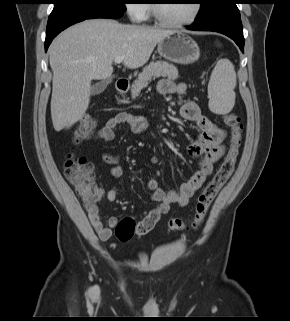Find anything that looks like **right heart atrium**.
<instances>
[{
  "label": "right heart atrium",
  "mask_w": 290,
  "mask_h": 321,
  "mask_svg": "<svg viewBox=\"0 0 290 321\" xmlns=\"http://www.w3.org/2000/svg\"><path fill=\"white\" fill-rule=\"evenodd\" d=\"M139 2L140 0H127L125 4V12L133 22H141L147 16L146 5Z\"/></svg>",
  "instance_id": "1"
}]
</instances>
